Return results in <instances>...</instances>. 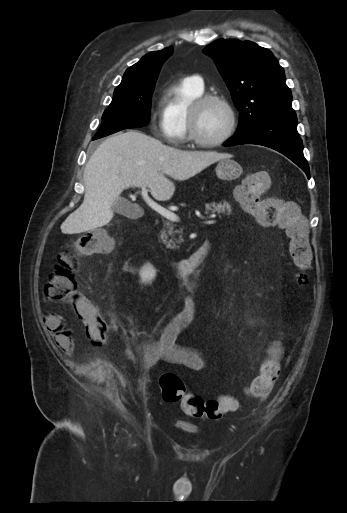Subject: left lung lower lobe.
Listing matches in <instances>:
<instances>
[{
  "label": "left lung lower lobe",
  "instance_id": "left-lung-lower-lobe-1",
  "mask_svg": "<svg viewBox=\"0 0 347 513\" xmlns=\"http://www.w3.org/2000/svg\"><path fill=\"white\" fill-rule=\"evenodd\" d=\"M257 144L272 148L291 159L310 178L308 163L303 155L302 140L297 132L296 116L265 119L242 134H235L224 146Z\"/></svg>",
  "mask_w": 347,
  "mask_h": 513
}]
</instances>
